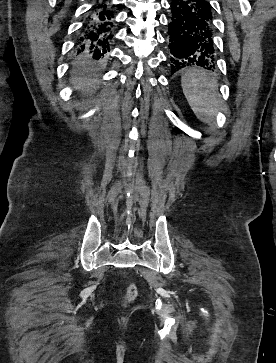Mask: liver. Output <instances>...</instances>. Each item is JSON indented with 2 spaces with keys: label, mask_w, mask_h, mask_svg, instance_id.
<instances>
[{
  "label": "liver",
  "mask_w": 276,
  "mask_h": 363,
  "mask_svg": "<svg viewBox=\"0 0 276 363\" xmlns=\"http://www.w3.org/2000/svg\"><path fill=\"white\" fill-rule=\"evenodd\" d=\"M72 65L74 67L73 74L75 76L73 78V83L75 84L76 89H81L87 96L93 94L97 88V84L92 77L95 75L97 69L93 67L92 61L80 56Z\"/></svg>",
  "instance_id": "1"
}]
</instances>
